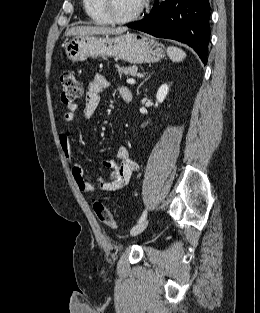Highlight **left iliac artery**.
<instances>
[{"label":"left iliac artery","mask_w":260,"mask_h":313,"mask_svg":"<svg viewBox=\"0 0 260 313\" xmlns=\"http://www.w3.org/2000/svg\"><path fill=\"white\" fill-rule=\"evenodd\" d=\"M146 216H147V209H145L141 215V217L139 218L138 220V223L142 222L143 220L146 219Z\"/></svg>","instance_id":"obj_1"}]
</instances>
